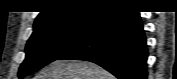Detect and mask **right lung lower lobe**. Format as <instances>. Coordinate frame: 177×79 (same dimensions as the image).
<instances>
[{"instance_id":"right-lung-lower-lobe-1","label":"right lung lower lobe","mask_w":177,"mask_h":79,"mask_svg":"<svg viewBox=\"0 0 177 79\" xmlns=\"http://www.w3.org/2000/svg\"><path fill=\"white\" fill-rule=\"evenodd\" d=\"M147 57L139 12L117 7L107 10L86 38L58 60L90 61L119 79H146Z\"/></svg>"}]
</instances>
